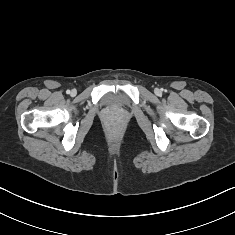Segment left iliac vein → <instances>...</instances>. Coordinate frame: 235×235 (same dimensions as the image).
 Wrapping results in <instances>:
<instances>
[{"label":"left iliac vein","instance_id":"1","mask_svg":"<svg viewBox=\"0 0 235 235\" xmlns=\"http://www.w3.org/2000/svg\"><path fill=\"white\" fill-rule=\"evenodd\" d=\"M156 95H160L161 91L159 89L155 90Z\"/></svg>","mask_w":235,"mask_h":235}]
</instances>
